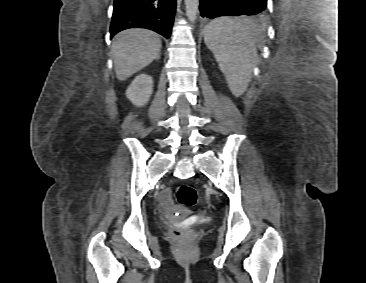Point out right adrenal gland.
<instances>
[{
    "label": "right adrenal gland",
    "instance_id": "obj_1",
    "mask_svg": "<svg viewBox=\"0 0 366 283\" xmlns=\"http://www.w3.org/2000/svg\"><path fill=\"white\" fill-rule=\"evenodd\" d=\"M157 59H160V55L157 57Z\"/></svg>",
    "mask_w": 366,
    "mask_h": 283
}]
</instances>
